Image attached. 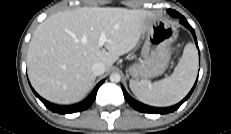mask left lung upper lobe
Masks as SVG:
<instances>
[{
	"label": "left lung upper lobe",
	"mask_w": 231,
	"mask_h": 134,
	"mask_svg": "<svg viewBox=\"0 0 231 134\" xmlns=\"http://www.w3.org/2000/svg\"><path fill=\"white\" fill-rule=\"evenodd\" d=\"M168 13H170L171 15H175V10L169 9V10H168Z\"/></svg>",
	"instance_id": "obj_1"
}]
</instances>
